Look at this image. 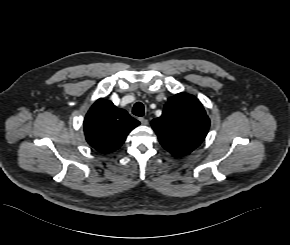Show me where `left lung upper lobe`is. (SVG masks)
<instances>
[{"mask_svg": "<svg viewBox=\"0 0 290 245\" xmlns=\"http://www.w3.org/2000/svg\"><path fill=\"white\" fill-rule=\"evenodd\" d=\"M151 124L162 146L175 157H181L201 144L210 121L199 100L179 93L168 99L162 115Z\"/></svg>", "mask_w": 290, "mask_h": 245, "instance_id": "1", "label": "left lung upper lobe"}]
</instances>
